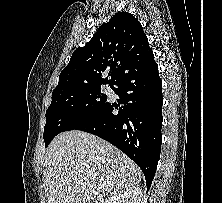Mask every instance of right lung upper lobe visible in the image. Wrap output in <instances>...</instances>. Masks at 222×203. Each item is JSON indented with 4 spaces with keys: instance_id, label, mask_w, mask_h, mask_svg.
Returning <instances> with one entry per match:
<instances>
[{
    "instance_id": "right-lung-upper-lobe-1",
    "label": "right lung upper lobe",
    "mask_w": 222,
    "mask_h": 203,
    "mask_svg": "<svg viewBox=\"0 0 222 203\" xmlns=\"http://www.w3.org/2000/svg\"><path fill=\"white\" fill-rule=\"evenodd\" d=\"M153 59L141 23L128 12H118L84 47L74 51L53 92L84 85L111 86L122 75ZM107 71L110 79L102 78Z\"/></svg>"
}]
</instances>
